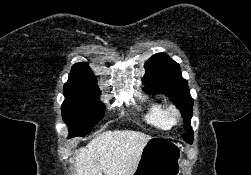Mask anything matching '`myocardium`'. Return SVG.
<instances>
[{
	"label": "myocardium",
	"mask_w": 251,
	"mask_h": 175,
	"mask_svg": "<svg viewBox=\"0 0 251 175\" xmlns=\"http://www.w3.org/2000/svg\"><path fill=\"white\" fill-rule=\"evenodd\" d=\"M166 116L172 126H175L181 118V112L176 106L171 105L166 108Z\"/></svg>",
	"instance_id": "myocardium-1"
}]
</instances>
